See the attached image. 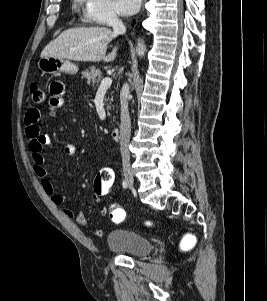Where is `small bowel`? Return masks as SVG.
Listing matches in <instances>:
<instances>
[{
    "instance_id": "1",
    "label": "small bowel",
    "mask_w": 267,
    "mask_h": 301,
    "mask_svg": "<svg viewBox=\"0 0 267 301\" xmlns=\"http://www.w3.org/2000/svg\"><path fill=\"white\" fill-rule=\"evenodd\" d=\"M49 93V108L51 112L55 114L65 102L66 86L62 81H54L50 85ZM40 115V110L37 107H31L24 118L25 133L31 153L33 170L39 178L44 192L51 198L53 203L56 205H62L65 202V197L57 193L45 168L43 167L44 156L42 154V150L45 146L50 145L51 141L48 136L41 132V128L39 126ZM64 153L67 156H74L76 153V146L74 144H66L64 147ZM91 198L94 202L101 203V200L93 194L91 195ZM64 213L68 217L74 218L78 225L84 228L89 227L88 221L82 212L74 213L70 208H65ZM101 214L103 216L106 215V209L104 207L101 209ZM93 233L98 237H102L104 235V231L101 229H95Z\"/></svg>"
}]
</instances>
